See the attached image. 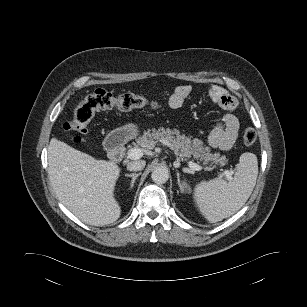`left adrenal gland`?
Wrapping results in <instances>:
<instances>
[{
  "label": "left adrenal gland",
  "instance_id": "left-adrenal-gland-1",
  "mask_svg": "<svg viewBox=\"0 0 307 307\" xmlns=\"http://www.w3.org/2000/svg\"><path fill=\"white\" fill-rule=\"evenodd\" d=\"M177 184H178L179 189L182 193L185 192L188 189V186L184 181L181 183L179 172H177Z\"/></svg>",
  "mask_w": 307,
  "mask_h": 307
}]
</instances>
